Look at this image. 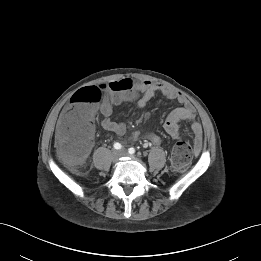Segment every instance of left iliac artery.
<instances>
[{"mask_svg":"<svg viewBox=\"0 0 261 261\" xmlns=\"http://www.w3.org/2000/svg\"><path fill=\"white\" fill-rule=\"evenodd\" d=\"M128 152L130 154H135L136 151H135V149L133 147H131V148L128 149Z\"/></svg>","mask_w":261,"mask_h":261,"instance_id":"1","label":"left iliac artery"}]
</instances>
